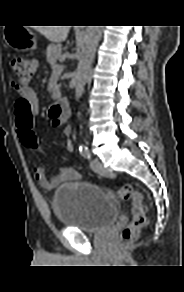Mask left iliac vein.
Segmentation results:
<instances>
[{
  "mask_svg": "<svg viewBox=\"0 0 184 292\" xmlns=\"http://www.w3.org/2000/svg\"><path fill=\"white\" fill-rule=\"evenodd\" d=\"M91 168L95 173L103 177L111 176V173L106 168H104L103 164L98 159L91 160Z\"/></svg>",
  "mask_w": 184,
  "mask_h": 292,
  "instance_id": "obj_1",
  "label": "left iliac vein"
}]
</instances>
